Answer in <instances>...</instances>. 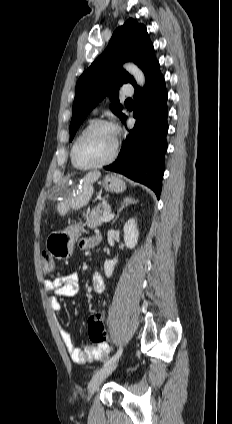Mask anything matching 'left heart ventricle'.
<instances>
[{"mask_svg": "<svg viewBox=\"0 0 232 424\" xmlns=\"http://www.w3.org/2000/svg\"><path fill=\"white\" fill-rule=\"evenodd\" d=\"M115 144V132L99 127L89 133L77 148V159L83 165L102 161L110 155Z\"/></svg>", "mask_w": 232, "mask_h": 424, "instance_id": "obj_1", "label": "left heart ventricle"}]
</instances>
